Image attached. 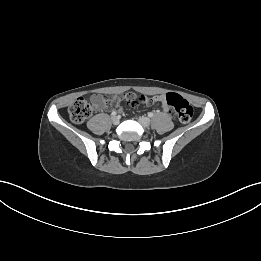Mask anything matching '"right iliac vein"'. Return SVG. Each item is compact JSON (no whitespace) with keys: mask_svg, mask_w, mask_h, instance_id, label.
Segmentation results:
<instances>
[{"mask_svg":"<svg viewBox=\"0 0 261 261\" xmlns=\"http://www.w3.org/2000/svg\"><path fill=\"white\" fill-rule=\"evenodd\" d=\"M111 120H112V123H113L114 125H118L119 122H120V119H119L118 116H112Z\"/></svg>","mask_w":261,"mask_h":261,"instance_id":"obj_1","label":"right iliac vein"}]
</instances>
